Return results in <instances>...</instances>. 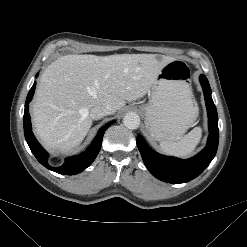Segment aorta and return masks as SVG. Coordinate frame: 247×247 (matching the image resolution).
Masks as SVG:
<instances>
[{"label": "aorta", "mask_w": 247, "mask_h": 247, "mask_svg": "<svg viewBox=\"0 0 247 247\" xmlns=\"http://www.w3.org/2000/svg\"><path fill=\"white\" fill-rule=\"evenodd\" d=\"M123 124L128 129L135 130V129L139 128L140 117L138 114H136L134 112H129L124 116Z\"/></svg>", "instance_id": "1"}]
</instances>
